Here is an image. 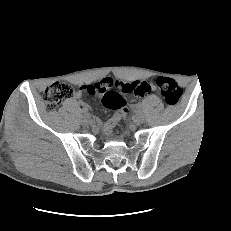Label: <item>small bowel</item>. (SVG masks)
Wrapping results in <instances>:
<instances>
[{"instance_id": "small-bowel-1", "label": "small bowel", "mask_w": 231, "mask_h": 231, "mask_svg": "<svg viewBox=\"0 0 231 231\" xmlns=\"http://www.w3.org/2000/svg\"><path fill=\"white\" fill-rule=\"evenodd\" d=\"M89 85H91V84H86V85L81 86L80 89L74 93V98H76V99L80 98L81 92H82L83 90L86 91V88H87V86H89ZM81 104L86 108V105H85L83 102H81ZM115 122H116V118H115V117L112 118V119H110V120H108V121L106 122V124H105V132H106V133H110L112 127H113L114 124H115Z\"/></svg>"}]
</instances>
